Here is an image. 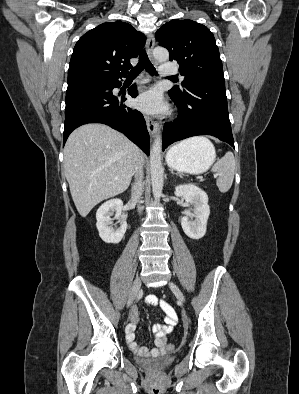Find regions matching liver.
<instances>
[{
	"label": "liver",
	"instance_id": "liver-1",
	"mask_svg": "<svg viewBox=\"0 0 299 394\" xmlns=\"http://www.w3.org/2000/svg\"><path fill=\"white\" fill-rule=\"evenodd\" d=\"M140 158L134 143L106 125L74 130L64 147V171L79 214L86 217L101 201L124 192Z\"/></svg>",
	"mask_w": 299,
	"mask_h": 394
}]
</instances>
